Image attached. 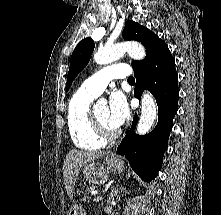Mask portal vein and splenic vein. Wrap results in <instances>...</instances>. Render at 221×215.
<instances>
[{"instance_id":"obj_1","label":"portal vein and splenic vein","mask_w":221,"mask_h":215,"mask_svg":"<svg viewBox=\"0 0 221 215\" xmlns=\"http://www.w3.org/2000/svg\"><path fill=\"white\" fill-rule=\"evenodd\" d=\"M100 199H101V197L97 196V197H95L94 200H100Z\"/></svg>"}]
</instances>
